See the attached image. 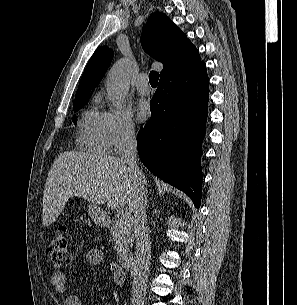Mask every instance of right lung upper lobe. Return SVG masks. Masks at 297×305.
Instances as JSON below:
<instances>
[{"instance_id":"obj_1","label":"right lung upper lobe","mask_w":297,"mask_h":305,"mask_svg":"<svg viewBox=\"0 0 297 305\" xmlns=\"http://www.w3.org/2000/svg\"><path fill=\"white\" fill-rule=\"evenodd\" d=\"M141 44L150 56L163 64L161 79L184 74L202 62L187 36L161 12L149 17L142 31ZM112 58L113 51L108 47H100L94 52L81 77L75 101L91 96Z\"/></svg>"}]
</instances>
